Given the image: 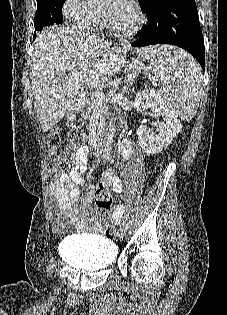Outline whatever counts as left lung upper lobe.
<instances>
[{"mask_svg":"<svg viewBox=\"0 0 227 315\" xmlns=\"http://www.w3.org/2000/svg\"><path fill=\"white\" fill-rule=\"evenodd\" d=\"M169 0H139V5L146 14L153 11L159 4Z\"/></svg>","mask_w":227,"mask_h":315,"instance_id":"left-lung-upper-lobe-1","label":"left lung upper lobe"}]
</instances>
